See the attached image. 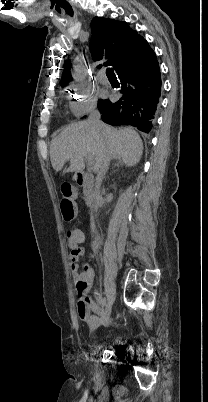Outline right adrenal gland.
Masks as SVG:
<instances>
[{
    "label": "right adrenal gland",
    "instance_id": "right-adrenal-gland-1",
    "mask_svg": "<svg viewBox=\"0 0 208 402\" xmlns=\"http://www.w3.org/2000/svg\"><path fill=\"white\" fill-rule=\"evenodd\" d=\"M120 162H118V164H115V166H119Z\"/></svg>",
    "mask_w": 208,
    "mask_h": 402
}]
</instances>
